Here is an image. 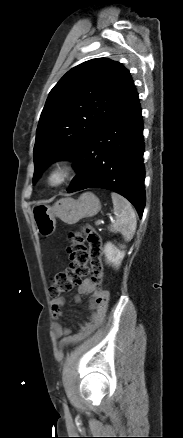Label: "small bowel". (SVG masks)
I'll return each instance as SVG.
<instances>
[{
	"label": "small bowel",
	"instance_id": "obj_1",
	"mask_svg": "<svg viewBox=\"0 0 183 438\" xmlns=\"http://www.w3.org/2000/svg\"><path fill=\"white\" fill-rule=\"evenodd\" d=\"M82 295H91L90 300V316L89 320L80 324L79 330L75 335L69 336L71 333V329L64 327L60 322H54V330L58 337L68 336L64 342L66 344L75 343L81 341L86 338L90 334H92L104 321L108 305L110 294L108 291H96L94 284L92 281L86 279L83 280L78 288L77 294L75 296V301L80 302ZM65 306V300L62 297L54 298L51 301L52 313L55 319H58L62 315V308Z\"/></svg>",
	"mask_w": 183,
	"mask_h": 438
}]
</instances>
